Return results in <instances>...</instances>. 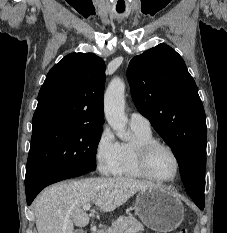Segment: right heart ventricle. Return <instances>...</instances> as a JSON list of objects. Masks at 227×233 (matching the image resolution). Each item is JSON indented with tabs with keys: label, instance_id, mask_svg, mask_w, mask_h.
<instances>
[{
	"label": "right heart ventricle",
	"instance_id": "obj_1",
	"mask_svg": "<svg viewBox=\"0 0 227 233\" xmlns=\"http://www.w3.org/2000/svg\"><path fill=\"white\" fill-rule=\"evenodd\" d=\"M133 131L135 133V141L120 145V163L115 175L130 178H144V175L137 166L135 149L141 143L155 141V138L151 131H142L139 129H133Z\"/></svg>",
	"mask_w": 227,
	"mask_h": 233
}]
</instances>
